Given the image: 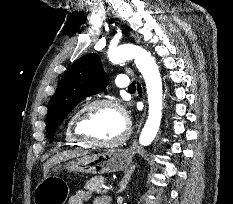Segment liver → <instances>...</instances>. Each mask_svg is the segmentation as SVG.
<instances>
[{"instance_id": "obj_1", "label": "liver", "mask_w": 233, "mask_h": 204, "mask_svg": "<svg viewBox=\"0 0 233 204\" xmlns=\"http://www.w3.org/2000/svg\"><path fill=\"white\" fill-rule=\"evenodd\" d=\"M86 154H87L86 151H80V150H69V151H63L57 153L44 164L43 166L44 176L48 173V171L53 165L75 157L84 156Z\"/></svg>"}]
</instances>
